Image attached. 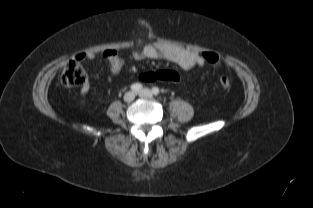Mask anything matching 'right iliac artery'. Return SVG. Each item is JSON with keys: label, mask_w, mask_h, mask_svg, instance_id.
<instances>
[{"label": "right iliac artery", "mask_w": 313, "mask_h": 208, "mask_svg": "<svg viewBox=\"0 0 313 208\" xmlns=\"http://www.w3.org/2000/svg\"><path fill=\"white\" fill-rule=\"evenodd\" d=\"M141 89H142V85L139 84V83H135V84L131 85V90H132L133 92H138V91H140Z\"/></svg>", "instance_id": "1"}]
</instances>
